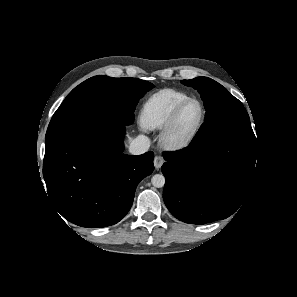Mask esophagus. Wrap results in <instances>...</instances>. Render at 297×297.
Listing matches in <instances>:
<instances>
[{"label":"esophagus","instance_id":"34e87169","mask_svg":"<svg viewBox=\"0 0 297 297\" xmlns=\"http://www.w3.org/2000/svg\"><path fill=\"white\" fill-rule=\"evenodd\" d=\"M163 163H164V159H163V157L162 156H155V158H154V166H155V168L156 169H159V168H161V166L163 165Z\"/></svg>","mask_w":297,"mask_h":297}]
</instances>
